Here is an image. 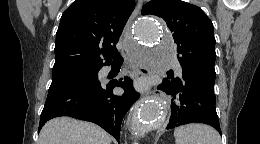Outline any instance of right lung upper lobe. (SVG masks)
Returning <instances> with one entry per match:
<instances>
[{
    "mask_svg": "<svg viewBox=\"0 0 260 144\" xmlns=\"http://www.w3.org/2000/svg\"><path fill=\"white\" fill-rule=\"evenodd\" d=\"M134 8L133 0H76L60 20L53 71L109 64Z\"/></svg>",
    "mask_w": 260,
    "mask_h": 144,
    "instance_id": "1",
    "label": "right lung upper lobe"
}]
</instances>
